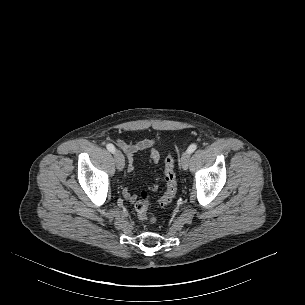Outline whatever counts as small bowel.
<instances>
[{
	"label": "small bowel",
	"instance_id": "c3829d8e",
	"mask_svg": "<svg viewBox=\"0 0 305 305\" xmlns=\"http://www.w3.org/2000/svg\"><path fill=\"white\" fill-rule=\"evenodd\" d=\"M118 146L125 152L128 157V170L132 171L134 169V157L140 152H147L148 153V160L151 164L156 165L160 161L159 153L153 148L155 145V140L150 138L142 139L135 144L126 143L123 140H117ZM158 176L155 177V184L153 185L152 189H158ZM124 198L133 203L137 196L132 193L128 188H124L123 190Z\"/></svg>",
	"mask_w": 305,
	"mask_h": 305
}]
</instances>
